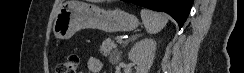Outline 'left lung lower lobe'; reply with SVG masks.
I'll return each mask as SVG.
<instances>
[{
  "mask_svg": "<svg viewBox=\"0 0 244 73\" xmlns=\"http://www.w3.org/2000/svg\"><path fill=\"white\" fill-rule=\"evenodd\" d=\"M172 16L181 28L186 21L193 0H124Z\"/></svg>",
  "mask_w": 244,
  "mask_h": 73,
  "instance_id": "0a47b994",
  "label": "left lung lower lobe"
}]
</instances>
